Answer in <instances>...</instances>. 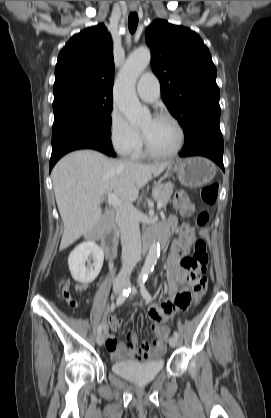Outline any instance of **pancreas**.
Listing matches in <instances>:
<instances>
[{
	"label": "pancreas",
	"instance_id": "pancreas-1",
	"mask_svg": "<svg viewBox=\"0 0 271 418\" xmlns=\"http://www.w3.org/2000/svg\"><path fill=\"white\" fill-rule=\"evenodd\" d=\"M172 193H173V184L170 182L157 185L152 190L154 199L156 201H160L163 207L167 205Z\"/></svg>",
	"mask_w": 271,
	"mask_h": 418
}]
</instances>
